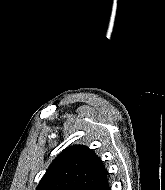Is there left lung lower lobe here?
Wrapping results in <instances>:
<instances>
[{"label":"left lung lower lobe","mask_w":165,"mask_h":190,"mask_svg":"<svg viewBox=\"0 0 165 190\" xmlns=\"http://www.w3.org/2000/svg\"><path fill=\"white\" fill-rule=\"evenodd\" d=\"M102 190H110L108 182H107V184L104 186V188Z\"/></svg>","instance_id":"0a47b994"}]
</instances>
